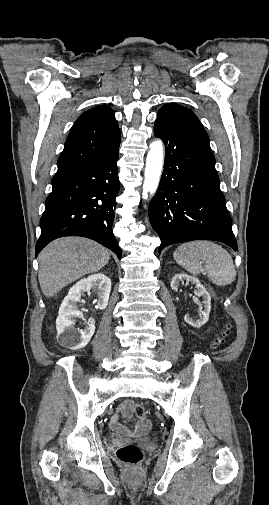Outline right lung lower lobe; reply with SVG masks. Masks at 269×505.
Masks as SVG:
<instances>
[{
	"label": "right lung lower lobe",
	"mask_w": 269,
	"mask_h": 505,
	"mask_svg": "<svg viewBox=\"0 0 269 505\" xmlns=\"http://www.w3.org/2000/svg\"><path fill=\"white\" fill-rule=\"evenodd\" d=\"M118 155L119 146L101 157L57 171L40 221L36 256L56 238L82 236L104 245L121 259L111 230L120 189Z\"/></svg>",
	"instance_id": "1"
}]
</instances>
